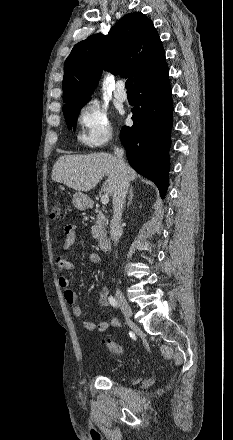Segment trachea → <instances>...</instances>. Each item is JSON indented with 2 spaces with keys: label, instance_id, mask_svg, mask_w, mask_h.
I'll list each match as a JSON object with an SVG mask.
<instances>
[{
  "label": "trachea",
  "instance_id": "3493384b",
  "mask_svg": "<svg viewBox=\"0 0 233 440\" xmlns=\"http://www.w3.org/2000/svg\"><path fill=\"white\" fill-rule=\"evenodd\" d=\"M125 87H126L127 91H129V92H133V91H134V88H133V80H132V79H128V80L126 81Z\"/></svg>",
  "mask_w": 233,
  "mask_h": 440
}]
</instances>
